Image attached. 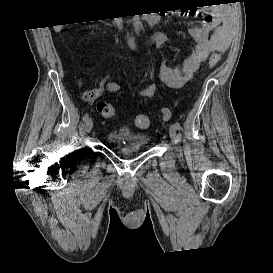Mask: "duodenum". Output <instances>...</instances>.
Masks as SVG:
<instances>
[{"instance_id": "410a0bca", "label": "duodenum", "mask_w": 273, "mask_h": 273, "mask_svg": "<svg viewBox=\"0 0 273 273\" xmlns=\"http://www.w3.org/2000/svg\"><path fill=\"white\" fill-rule=\"evenodd\" d=\"M149 25L156 24L158 22V18L156 15H147L144 17Z\"/></svg>"}]
</instances>
